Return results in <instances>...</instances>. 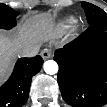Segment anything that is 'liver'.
Returning a JSON list of instances; mask_svg holds the SVG:
<instances>
[{
  "instance_id": "6515ba94",
  "label": "liver",
  "mask_w": 107,
  "mask_h": 107,
  "mask_svg": "<svg viewBox=\"0 0 107 107\" xmlns=\"http://www.w3.org/2000/svg\"><path fill=\"white\" fill-rule=\"evenodd\" d=\"M54 33V22L51 15L41 13L33 16L20 26L15 33L0 35V73L1 78L10 72L14 60L20 56L18 50L25 46H40Z\"/></svg>"
}]
</instances>
